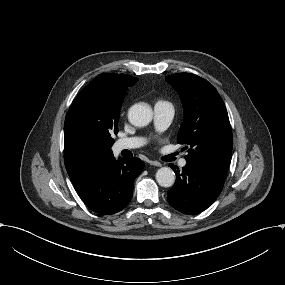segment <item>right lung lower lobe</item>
<instances>
[{"mask_svg":"<svg viewBox=\"0 0 285 285\" xmlns=\"http://www.w3.org/2000/svg\"><path fill=\"white\" fill-rule=\"evenodd\" d=\"M144 163L139 158H115L75 189L94 212L111 215L124 209L133 194V184Z\"/></svg>","mask_w":285,"mask_h":285,"instance_id":"98d812e1","label":"right lung lower lobe"}]
</instances>
